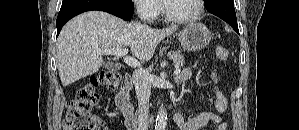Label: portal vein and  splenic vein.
I'll return each instance as SVG.
<instances>
[{
	"label": "portal vein and splenic vein",
	"instance_id": "obj_1",
	"mask_svg": "<svg viewBox=\"0 0 299 130\" xmlns=\"http://www.w3.org/2000/svg\"><path fill=\"white\" fill-rule=\"evenodd\" d=\"M97 53L101 55H114L117 57H122L124 62L128 66L133 68H136L140 65V63L135 58L127 56L128 54L127 48L116 49V50H111V49L97 50ZM180 71H181L180 68L176 67V70L174 71V75H178Z\"/></svg>",
	"mask_w": 299,
	"mask_h": 130
}]
</instances>
